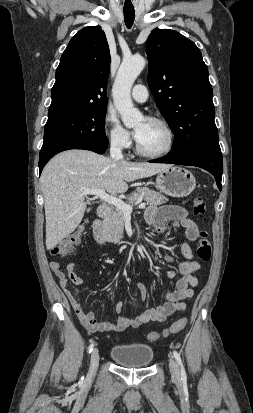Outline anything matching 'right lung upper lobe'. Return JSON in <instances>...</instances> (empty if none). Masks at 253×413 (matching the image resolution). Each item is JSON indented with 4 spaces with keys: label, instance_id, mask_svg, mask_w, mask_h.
<instances>
[{
    "label": "right lung upper lobe",
    "instance_id": "1",
    "mask_svg": "<svg viewBox=\"0 0 253 413\" xmlns=\"http://www.w3.org/2000/svg\"><path fill=\"white\" fill-rule=\"evenodd\" d=\"M110 51L100 26L80 30L69 42L56 70L48 115L107 107Z\"/></svg>",
    "mask_w": 253,
    "mask_h": 413
}]
</instances>
